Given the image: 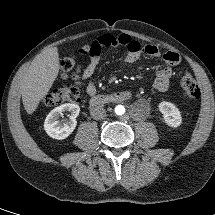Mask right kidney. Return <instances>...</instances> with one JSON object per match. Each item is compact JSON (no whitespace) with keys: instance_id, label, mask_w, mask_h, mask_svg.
Masks as SVG:
<instances>
[{"instance_id":"obj_1","label":"right kidney","mask_w":215,"mask_h":215,"mask_svg":"<svg viewBox=\"0 0 215 215\" xmlns=\"http://www.w3.org/2000/svg\"><path fill=\"white\" fill-rule=\"evenodd\" d=\"M64 112H70L69 118L59 121ZM80 107L76 104L66 103L53 109L46 117L44 129L54 139L63 140L67 138L77 125L76 117L79 115Z\"/></svg>"}]
</instances>
